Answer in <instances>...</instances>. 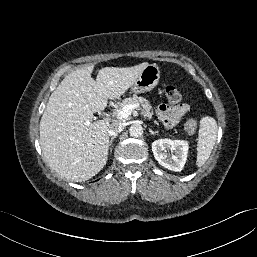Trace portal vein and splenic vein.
I'll list each match as a JSON object with an SVG mask.
<instances>
[{
  "mask_svg": "<svg viewBox=\"0 0 257 257\" xmlns=\"http://www.w3.org/2000/svg\"><path fill=\"white\" fill-rule=\"evenodd\" d=\"M137 108H139V104H127L117 113L116 116L118 119H126L131 115L132 111Z\"/></svg>",
  "mask_w": 257,
  "mask_h": 257,
  "instance_id": "obj_1",
  "label": "portal vein and splenic vein"
}]
</instances>
